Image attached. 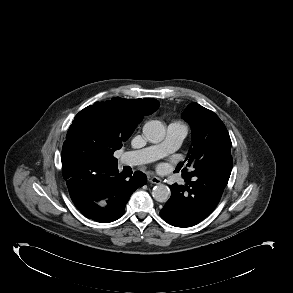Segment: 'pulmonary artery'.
Segmentation results:
<instances>
[{"mask_svg": "<svg viewBox=\"0 0 293 293\" xmlns=\"http://www.w3.org/2000/svg\"><path fill=\"white\" fill-rule=\"evenodd\" d=\"M186 134V126L173 122L168 125L167 135L162 143L141 150L126 152L121 157V163L128 166H136L156 161L176 151L181 146Z\"/></svg>", "mask_w": 293, "mask_h": 293, "instance_id": "e3ab8cb5", "label": "pulmonary artery"}]
</instances>
